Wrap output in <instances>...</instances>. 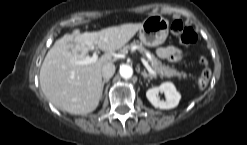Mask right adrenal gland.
<instances>
[{"mask_svg": "<svg viewBox=\"0 0 247 145\" xmlns=\"http://www.w3.org/2000/svg\"><path fill=\"white\" fill-rule=\"evenodd\" d=\"M109 82V79H104L103 81H102V90H103V88H104V84L105 83H108Z\"/></svg>", "mask_w": 247, "mask_h": 145, "instance_id": "1", "label": "right adrenal gland"}]
</instances>
